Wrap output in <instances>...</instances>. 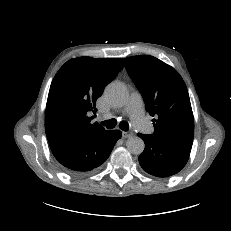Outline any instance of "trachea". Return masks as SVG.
<instances>
[{
	"instance_id": "3493384b",
	"label": "trachea",
	"mask_w": 231,
	"mask_h": 231,
	"mask_svg": "<svg viewBox=\"0 0 231 231\" xmlns=\"http://www.w3.org/2000/svg\"><path fill=\"white\" fill-rule=\"evenodd\" d=\"M103 126H105L107 129H112L117 125V121L115 119H110L104 122H101ZM119 128L121 130L127 131L129 129V124L125 121H121L119 123Z\"/></svg>"
}]
</instances>
